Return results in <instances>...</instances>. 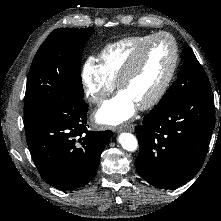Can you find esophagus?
I'll use <instances>...</instances> for the list:
<instances>
[{
  "label": "esophagus",
  "mask_w": 221,
  "mask_h": 221,
  "mask_svg": "<svg viewBox=\"0 0 221 221\" xmlns=\"http://www.w3.org/2000/svg\"><path fill=\"white\" fill-rule=\"evenodd\" d=\"M134 128H135L134 125L128 124V125H123V126L118 127L117 129H115V131L121 132L123 130H127V131H130V132H133Z\"/></svg>",
  "instance_id": "esophagus-1"
}]
</instances>
